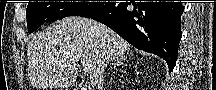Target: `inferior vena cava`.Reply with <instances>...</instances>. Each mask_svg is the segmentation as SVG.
I'll return each instance as SVG.
<instances>
[{"mask_svg": "<svg viewBox=\"0 0 216 90\" xmlns=\"http://www.w3.org/2000/svg\"><path fill=\"white\" fill-rule=\"evenodd\" d=\"M105 68H107V60H105V62H103V64H101L100 68H99V80H98V88L97 90H104V84H105V80H104V72H105Z\"/></svg>", "mask_w": 216, "mask_h": 90, "instance_id": "1", "label": "inferior vena cava"}]
</instances>
